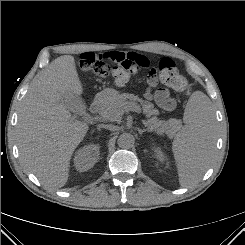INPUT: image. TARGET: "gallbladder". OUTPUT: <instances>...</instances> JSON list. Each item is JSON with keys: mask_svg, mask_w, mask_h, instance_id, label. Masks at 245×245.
<instances>
[{"mask_svg": "<svg viewBox=\"0 0 245 245\" xmlns=\"http://www.w3.org/2000/svg\"><path fill=\"white\" fill-rule=\"evenodd\" d=\"M65 107L72 112L85 113L86 108L81 96L70 94L62 98Z\"/></svg>", "mask_w": 245, "mask_h": 245, "instance_id": "1", "label": "gallbladder"}]
</instances>
